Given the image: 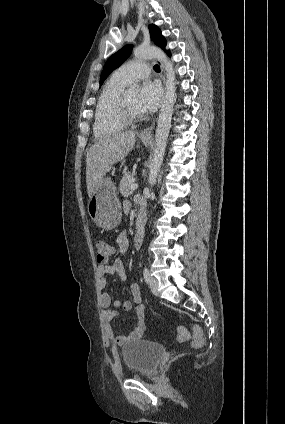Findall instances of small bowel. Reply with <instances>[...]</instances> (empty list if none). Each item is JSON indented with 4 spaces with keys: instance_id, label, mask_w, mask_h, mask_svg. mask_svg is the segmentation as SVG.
<instances>
[{
    "instance_id": "small-bowel-1",
    "label": "small bowel",
    "mask_w": 285,
    "mask_h": 424,
    "mask_svg": "<svg viewBox=\"0 0 285 424\" xmlns=\"http://www.w3.org/2000/svg\"><path fill=\"white\" fill-rule=\"evenodd\" d=\"M129 209V205H125V210ZM117 249H118V257L110 264L100 265L97 268V273L99 277V289L101 291L100 295V304L102 308H104V316L107 322H110L113 318L118 315L117 310L109 309L111 305V297L110 295L104 291L107 278L110 276H117L122 282L126 281V274L123 266V262L121 256L126 252L128 248V238L124 232H121L117 235L115 240ZM142 240L140 237L135 238V246L139 248L141 246ZM130 293L132 295V300H115L113 302L114 307H122L126 311L133 310L135 315V325L132 330L127 334H120L116 336L113 340V343L116 345H124L125 343L140 339L146 329L145 324V309L141 300V288L138 283H134L130 286Z\"/></svg>"
}]
</instances>
